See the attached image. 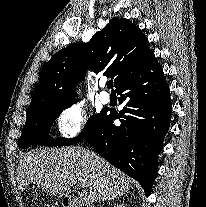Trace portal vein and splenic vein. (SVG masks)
<instances>
[{
  "label": "portal vein and splenic vein",
  "mask_w": 206,
  "mask_h": 207,
  "mask_svg": "<svg viewBox=\"0 0 206 207\" xmlns=\"http://www.w3.org/2000/svg\"><path fill=\"white\" fill-rule=\"evenodd\" d=\"M74 188L78 189V185L74 184ZM80 199H81L82 202L87 203V200L84 198V194L83 193L80 194Z\"/></svg>",
  "instance_id": "18ae733b"
}]
</instances>
